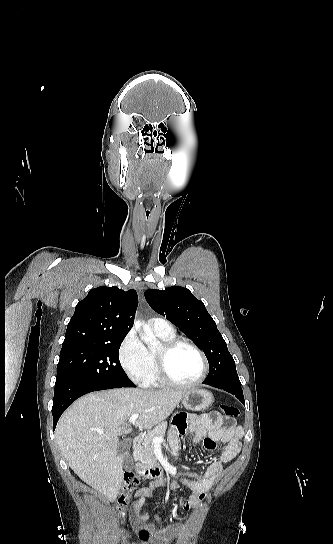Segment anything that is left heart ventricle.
Masks as SVG:
<instances>
[{
	"mask_svg": "<svg viewBox=\"0 0 333 544\" xmlns=\"http://www.w3.org/2000/svg\"><path fill=\"white\" fill-rule=\"evenodd\" d=\"M168 367L171 376L182 383L197 379L203 370L200 356L190 347L181 346L169 358Z\"/></svg>",
	"mask_w": 333,
	"mask_h": 544,
	"instance_id": "left-heart-ventricle-1",
	"label": "left heart ventricle"
}]
</instances>
